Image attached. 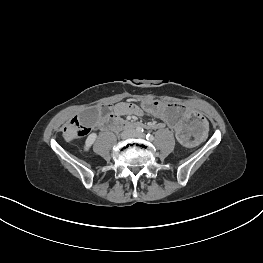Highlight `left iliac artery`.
I'll use <instances>...</instances> for the list:
<instances>
[{
    "label": "left iliac artery",
    "instance_id": "44dca946",
    "mask_svg": "<svg viewBox=\"0 0 263 263\" xmlns=\"http://www.w3.org/2000/svg\"><path fill=\"white\" fill-rule=\"evenodd\" d=\"M146 139L149 140V141H153L154 140V136L151 135V134H147L146 135Z\"/></svg>",
    "mask_w": 263,
    "mask_h": 263
}]
</instances>
